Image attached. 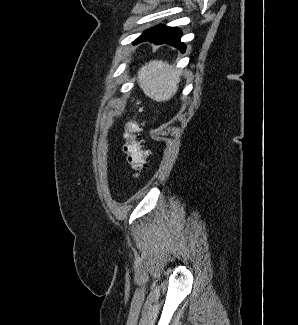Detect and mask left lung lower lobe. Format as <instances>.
I'll use <instances>...</instances> for the list:
<instances>
[{
	"mask_svg": "<svg viewBox=\"0 0 298 325\" xmlns=\"http://www.w3.org/2000/svg\"><path fill=\"white\" fill-rule=\"evenodd\" d=\"M181 35L182 32L178 28L160 25L145 31L134 43L137 44L143 41H150L156 45L167 43L184 52L185 45L180 41Z\"/></svg>",
	"mask_w": 298,
	"mask_h": 325,
	"instance_id": "left-lung-lower-lobe-1",
	"label": "left lung lower lobe"
}]
</instances>
